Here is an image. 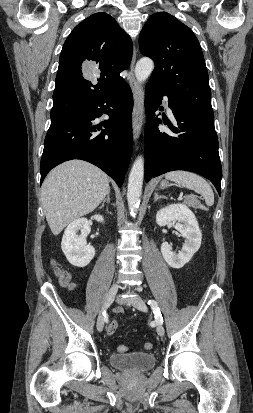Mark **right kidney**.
<instances>
[{
  "mask_svg": "<svg viewBox=\"0 0 253 413\" xmlns=\"http://www.w3.org/2000/svg\"><path fill=\"white\" fill-rule=\"evenodd\" d=\"M98 222H103L104 218L101 215L93 217ZM78 230L81 235H77ZM91 228L89 221L86 218H79L71 222L63 235L61 248L67 260L76 267H85L95 256V249L88 245L86 237L90 233Z\"/></svg>",
  "mask_w": 253,
  "mask_h": 413,
  "instance_id": "ca27d5eb",
  "label": "right kidney"
}]
</instances>
